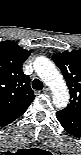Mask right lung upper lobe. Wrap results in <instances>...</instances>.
<instances>
[{
	"label": "right lung upper lobe",
	"mask_w": 81,
	"mask_h": 155,
	"mask_svg": "<svg viewBox=\"0 0 81 155\" xmlns=\"http://www.w3.org/2000/svg\"><path fill=\"white\" fill-rule=\"evenodd\" d=\"M30 55L12 41L0 46V124L8 125L21 116L35 95L30 79L22 71V64Z\"/></svg>",
	"instance_id": "obj_1"
}]
</instances>
